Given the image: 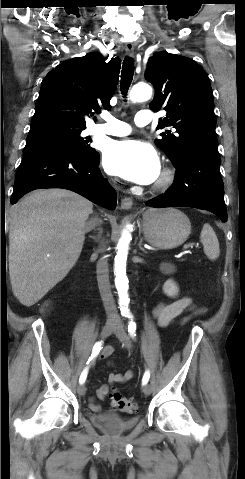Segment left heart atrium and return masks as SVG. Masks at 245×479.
<instances>
[{
	"mask_svg": "<svg viewBox=\"0 0 245 479\" xmlns=\"http://www.w3.org/2000/svg\"><path fill=\"white\" fill-rule=\"evenodd\" d=\"M103 166L109 173L144 185L154 182L160 173L156 151L138 140L110 142L104 150Z\"/></svg>",
	"mask_w": 245,
	"mask_h": 479,
	"instance_id": "1",
	"label": "left heart atrium"
}]
</instances>
